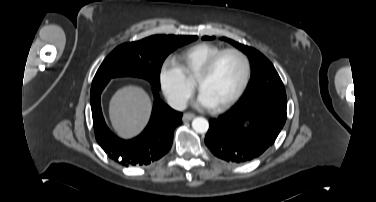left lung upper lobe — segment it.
Listing matches in <instances>:
<instances>
[{"label": "left lung upper lobe", "mask_w": 376, "mask_h": 202, "mask_svg": "<svg viewBox=\"0 0 376 202\" xmlns=\"http://www.w3.org/2000/svg\"><path fill=\"white\" fill-rule=\"evenodd\" d=\"M215 37L204 36V40H212ZM245 54L252 62L251 80L248 89L240 103L251 101L262 96L270 97L287 103L284 85L272 63L259 51L231 39L224 38Z\"/></svg>", "instance_id": "5c2ea615"}]
</instances>
